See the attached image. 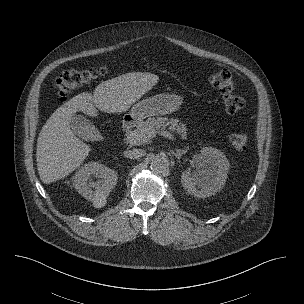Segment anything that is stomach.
<instances>
[{"label":"stomach","mask_w":304,"mask_h":304,"mask_svg":"<svg viewBox=\"0 0 304 304\" xmlns=\"http://www.w3.org/2000/svg\"><path fill=\"white\" fill-rule=\"evenodd\" d=\"M183 98L176 94L163 93L143 99L134 104L128 116L134 122H140L149 116L166 115L177 111Z\"/></svg>","instance_id":"stomach-1"}]
</instances>
